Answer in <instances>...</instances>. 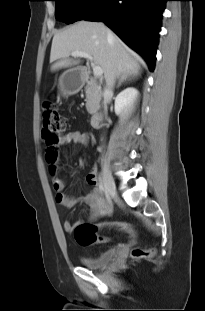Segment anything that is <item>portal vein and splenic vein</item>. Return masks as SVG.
Masks as SVG:
<instances>
[{"label":"portal vein and splenic vein","mask_w":205,"mask_h":311,"mask_svg":"<svg viewBox=\"0 0 205 311\" xmlns=\"http://www.w3.org/2000/svg\"><path fill=\"white\" fill-rule=\"evenodd\" d=\"M71 55L73 57H81V58H85V59L89 60L91 62V66H92L93 73H94L95 77H99L103 74L102 68L94 62L93 57L90 56L89 54H86L83 52H72Z\"/></svg>","instance_id":"portal-vein-and-splenic-vein-1"}]
</instances>
